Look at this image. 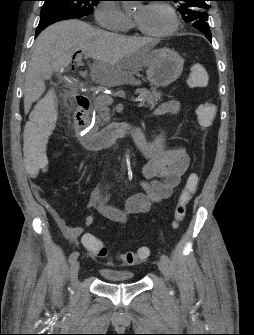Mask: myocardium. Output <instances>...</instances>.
I'll list each match as a JSON object with an SVG mask.
<instances>
[{
  "label": "myocardium",
  "instance_id": "f54148a6",
  "mask_svg": "<svg viewBox=\"0 0 254 335\" xmlns=\"http://www.w3.org/2000/svg\"><path fill=\"white\" fill-rule=\"evenodd\" d=\"M154 6H161L163 8H165L171 15L172 17V26L164 31V32H160V33H150V32H146L145 30H143L139 24L135 21V26L136 28L138 29V31L146 36H149V37H153V38H159V39H162V38H166V37H169L171 35H173L179 28L180 26V19H179V16L175 10V8L166 3V2H163V1H158V2H154V4H152Z\"/></svg>",
  "mask_w": 254,
  "mask_h": 335
}]
</instances>
